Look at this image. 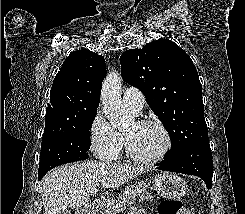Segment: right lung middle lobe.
<instances>
[{
    "label": "right lung middle lobe",
    "mask_w": 245,
    "mask_h": 214,
    "mask_svg": "<svg viewBox=\"0 0 245 214\" xmlns=\"http://www.w3.org/2000/svg\"><path fill=\"white\" fill-rule=\"evenodd\" d=\"M96 114L97 110L91 111L75 126L43 135L38 176L45 175L56 166L88 159L89 131Z\"/></svg>",
    "instance_id": "right-lung-middle-lobe-1"
}]
</instances>
